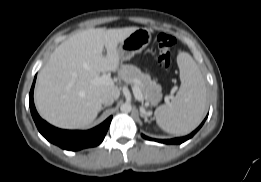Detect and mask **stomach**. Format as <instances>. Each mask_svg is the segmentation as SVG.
<instances>
[{
    "instance_id": "1",
    "label": "stomach",
    "mask_w": 261,
    "mask_h": 182,
    "mask_svg": "<svg viewBox=\"0 0 261 182\" xmlns=\"http://www.w3.org/2000/svg\"><path fill=\"white\" fill-rule=\"evenodd\" d=\"M150 42L151 31L147 28H138L120 43L118 47L120 60H130L135 54L141 53Z\"/></svg>"
}]
</instances>
